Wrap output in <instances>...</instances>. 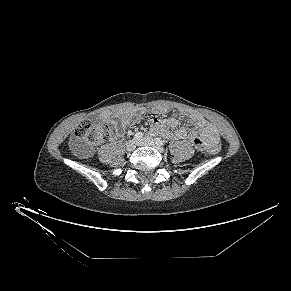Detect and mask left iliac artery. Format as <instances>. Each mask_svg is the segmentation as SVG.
<instances>
[{
  "mask_svg": "<svg viewBox=\"0 0 291 291\" xmlns=\"http://www.w3.org/2000/svg\"><path fill=\"white\" fill-rule=\"evenodd\" d=\"M154 141H155L156 144H158L160 146L164 145V141H162L160 138H155Z\"/></svg>",
  "mask_w": 291,
  "mask_h": 291,
  "instance_id": "1",
  "label": "left iliac artery"
}]
</instances>
